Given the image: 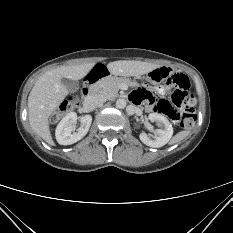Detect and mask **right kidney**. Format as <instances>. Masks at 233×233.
Instances as JSON below:
<instances>
[{
	"label": "right kidney",
	"instance_id": "1",
	"mask_svg": "<svg viewBox=\"0 0 233 233\" xmlns=\"http://www.w3.org/2000/svg\"><path fill=\"white\" fill-rule=\"evenodd\" d=\"M77 114L75 112L68 113L57 125L55 136L61 145H71L81 140L89 131L92 123L91 115L80 116L81 126L75 132L74 124L77 122Z\"/></svg>",
	"mask_w": 233,
	"mask_h": 233
}]
</instances>
